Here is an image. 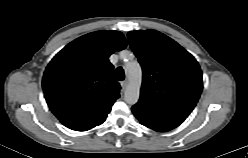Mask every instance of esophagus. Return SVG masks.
<instances>
[{"label": "esophagus", "mask_w": 248, "mask_h": 158, "mask_svg": "<svg viewBox=\"0 0 248 158\" xmlns=\"http://www.w3.org/2000/svg\"><path fill=\"white\" fill-rule=\"evenodd\" d=\"M120 85H121L122 91H125L126 88H127V86H128V81L127 80H124V81L121 82Z\"/></svg>", "instance_id": "34e87169"}]
</instances>
